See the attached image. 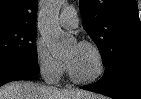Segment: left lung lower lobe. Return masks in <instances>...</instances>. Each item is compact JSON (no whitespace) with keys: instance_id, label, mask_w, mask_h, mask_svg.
I'll return each instance as SVG.
<instances>
[{"instance_id":"0a47b994","label":"left lung lower lobe","mask_w":141,"mask_h":99,"mask_svg":"<svg viewBox=\"0 0 141 99\" xmlns=\"http://www.w3.org/2000/svg\"><path fill=\"white\" fill-rule=\"evenodd\" d=\"M80 88L114 99H141V61H122L98 82Z\"/></svg>"}]
</instances>
